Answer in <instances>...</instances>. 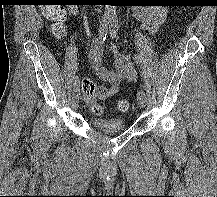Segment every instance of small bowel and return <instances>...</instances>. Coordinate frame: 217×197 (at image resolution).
<instances>
[{
    "mask_svg": "<svg viewBox=\"0 0 217 197\" xmlns=\"http://www.w3.org/2000/svg\"><path fill=\"white\" fill-rule=\"evenodd\" d=\"M70 13L76 15L78 8L76 6L70 7ZM135 17L140 21L143 29L148 32H156L164 23L167 13L162 7L154 8H138L134 11ZM104 49V42L100 37L93 39L90 52L89 61L96 71L97 75L104 81H107L110 86L106 88L107 94L103 99L113 96L118 93L121 83L134 82L137 80V72L134 68L130 57L118 46L113 44L111 49L114 53L113 65L114 70H108L102 65V53Z\"/></svg>",
    "mask_w": 217,
    "mask_h": 197,
    "instance_id": "1",
    "label": "small bowel"
}]
</instances>
